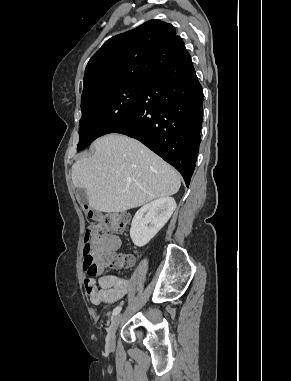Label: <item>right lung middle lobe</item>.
Listing matches in <instances>:
<instances>
[{
  "label": "right lung middle lobe",
  "instance_id": "1",
  "mask_svg": "<svg viewBox=\"0 0 291 381\" xmlns=\"http://www.w3.org/2000/svg\"><path fill=\"white\" fill-rule=\"evenodd\" d=\"M146 82L120 84L81 101L80 141L77 150L91 144L132 117Z\"/></svg>",
  "mask_w": 291,
  "mask_h": 381
}]
</instances>
